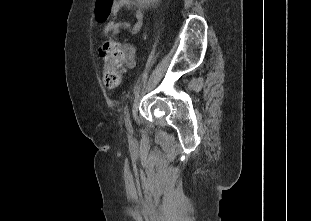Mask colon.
I'll use <instances>...</instances> for the list:
<instances>
[{
	"instance_id": "colon-1",
	"label": "colon",
	"mask_w": 311,
	"mask_h": 221,
	"mask_svg": "<svg viewBox=\"0 0 311 221\" xmlns=\"http://www.w3.org/2000/svg\"><path fill=\"white\" fill-rule=\"evenodd\" d=\"M118 0H100L96 2L99 10H94L95 22L100 26L105 24L104 17H110L113 4ZM100 58L103 60V80L107 88L116 87L120 81L123 66L127 58V49L122 47L114 38L104 37L98 48Z\"/></svg>"
}]
</instances>
